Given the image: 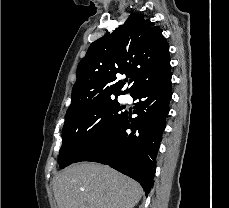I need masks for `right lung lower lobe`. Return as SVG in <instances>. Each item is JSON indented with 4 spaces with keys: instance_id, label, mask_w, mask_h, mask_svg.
<instances>
[{
    "instance_id": "obj_1",
    "label": "right lung lower lobe",
    "mask_w": 229,
    "mask_h": 208,
    "mask_svg": "<svg viewBox=\"0 0 229 208\" xmlns=\"http://www.w3.org/2000/svg\"><path fill=\"white\" fill-rule=\"evenodd\" d=\"M170 67L167 72L139 87L131 96L139 99L131 118L124 112L118 125L85 150L73 163L81 161L107 164L135 179L146 196L153 187L156 154L172 96Z\"/></svg>"
}]
</instances>
